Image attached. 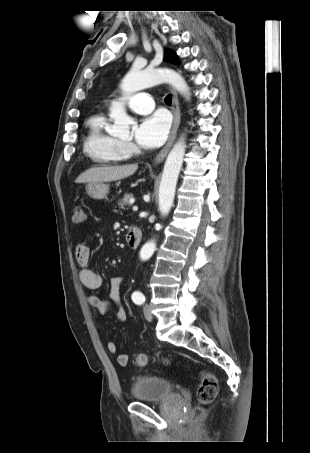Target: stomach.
Returning <instances> with one entry per match:
<instances>
[{"mask_svg": "<svg viewBox=\"0 0 310 453\" xmlns=\"http://www.w3.org/2000/svg\"><path fill=\"white\" fill-rule=\"evenodd\" d=\"M109 186L102 183H89L86 187L87 194L94 199H103L108 193Z\"/></svg>", "mask_w": 310, "mask_h": 453, "instance_id": "stomach-1", "label": "stomach"}]
</instances>
